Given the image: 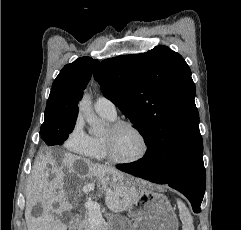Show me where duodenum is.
Here are the masks:
<instances>
[{
    "label": "duodenum",
    "instance_id": "obj_1",
    "mask_svg": "<svg viewBox=\"0 0 241 230\" xmlns=\"http://www.w3.org/2000/svg\"><path fill=\"white\" fill-rule=\"evenodd\" d=\"M80 222V216H74L73 219L70 222L71 228H77Z\"/></svg>",
    "mask_w": 241,
    "mask_h": 230
}]
</instances>
